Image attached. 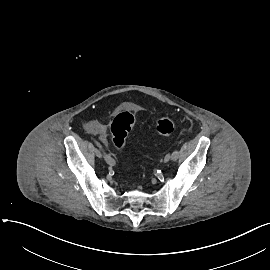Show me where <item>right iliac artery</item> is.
I'll list each match as a JSON object with an SVG mask.
<instances>
[{
    "label": "right iliac artery",
    "instance_id": "obj_1",
    "mask_svg": "<svg viewBox=\"0 0 270 270\" xmlns=\"http://www.w3.org/2000/svg\"><path fill=\"white\" fill-rule=\"evenodd\" d=\"M94 143H95L96 146L103 152L105 161H106L109 165H111V166L115 165V160H114L112 157H110V156L104 151V149L102 148L101 144H100L98 141H96L95 139H94Z\"/></svg>",
    "mask_w": 270,
    "mask_h": 270
}]
</instances>
